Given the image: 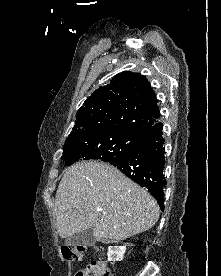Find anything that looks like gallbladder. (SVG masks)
Returning <instances> with one entry per match:
<instances>
[{"label":"gallbladder","instance_id":"obj_1","mask_svg":"<svg viewBox=\"0 0 221 276\" xmlns=\"http://www.w3.org/2000/svg\"><path fill=\"white\" fill-rule=\"evenodd\" d=\"M95 243H96V240L91 228L80 232H76L73 235L67 237L65 240V244L71 247H76V246L88 247V246H93Z\"/></svg>","mask_w":221,"mask_h":276}]
</instances>
